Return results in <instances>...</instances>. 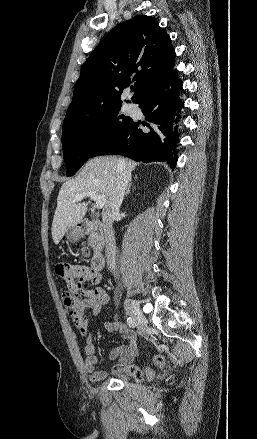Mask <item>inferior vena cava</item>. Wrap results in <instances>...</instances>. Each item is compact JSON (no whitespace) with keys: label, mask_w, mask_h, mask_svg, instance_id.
Listing matches in <instances>:
<instances>
[{"label":"inferior vena cava","mask_w":257,"mask_h":439,"mask_svg":"<svg viewBox=\"0 0 257 439\" xmlns=\"http://www.w3.org/2000/svg\"><path fill=\"white\" fill-rule=\"evenodd\" d=\"M118 169L119 174L115 184L114 189L112 190L108 201L105 205V208L102 212V220L104 223L105 229V256L107 261L108 269L111 271H115L116 262V246H115V236L113 231V222L116 216L119 214V209L122 204L125 190L128 186L129 181L131 180V173L127 171L125 162L123 160L118 161Z\"/></svg>","instance_id":"602c4592"}]
</instances>
